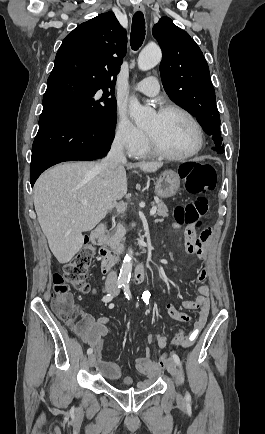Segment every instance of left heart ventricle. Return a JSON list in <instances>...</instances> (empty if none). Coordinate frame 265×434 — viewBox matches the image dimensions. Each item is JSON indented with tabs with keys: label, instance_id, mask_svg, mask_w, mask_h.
<instances>
[{
	"label": "left heart ventricle",
	"instance_id": "obj_1",
	"mask_svg": "<svg viewBox=\"0 0 265 434\" xmlns=\"http://www.w3.org/2000/svg\"><path fill=\"white\" fill-rule=\"evenodd\" d=\"M146 131L162 150L171 154H183L196 143V133L189 119L180 112L154 114L145 125Z\"/></svg>",
	"mask_w": 265,
	"mask_h": 434
}]
</instances>
